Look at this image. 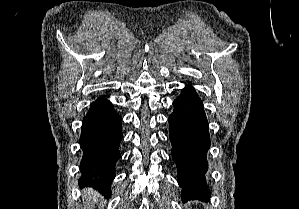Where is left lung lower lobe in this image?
<instances>
[{
	"mask_svg": "<svg viewBox=\"0 0 299 209\" xmlns=\"http://www.w3.org/2000/svg\"><path fill=\"white\" fill-rule=\"evenodd\" d=\"M168 118L171 155L178 169L182 200H207L210 191L205 181L210 148L208 121L201 99L192 86H186L174 101Z\"/></svg>",
	"mask_w": 299,
	"mask_h": 209,
	"instance_id": "0a47b994",
	"label": "left lung lower lobe"
}]
</instances>
